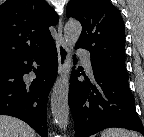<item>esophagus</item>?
I'll return each mask as SVG.
<instances>
[{"instance_id": "obj_1", "label": "esophagus", "mask_w": 144, "mask_h": 137, "mask_svg": "<svg viewBox=\"0 0 144 137\" xmlns=\"http://www.w3.org/2000/svg\"><path fill=\"white\" fill-rule=\"evenodd\" d=\"M56 47L58 52V73L66 76L69 72L70 58L67 43L63 37V22L62 19L58 25V35L56 39Z\"/></svg>"}]
</instances>
